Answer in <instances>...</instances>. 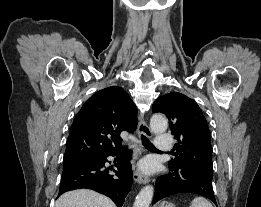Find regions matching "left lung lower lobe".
I'll return each mask as SVG.
<instances>
[{"label": "left lung lower lobe", "mask_w": 261, "mask_h": 207, "mask_svg": "<svg viewBox=\"0 0 261 207\" xmlns=\"http://www.w3.org/2000/svg\"><path fill=\"white\" fill-rule=\"evenodd\" d=\"M158 177L153 203L162 198L180 193H194L210 199L216 206L212 178L185 168L173 169Z\"/></svg>", "instance_id": "1"}]
</instances>
